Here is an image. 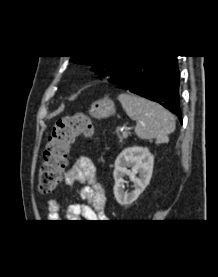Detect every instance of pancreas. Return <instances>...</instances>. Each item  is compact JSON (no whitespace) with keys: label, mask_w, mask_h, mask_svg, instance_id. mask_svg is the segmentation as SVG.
<instances>
[{"label":"pancreas","mask_w":218,"mask_h":277,"mask_svg":"<svg viewBox=\"0 0 218 277\" xmlns=\"http://www.w3.org/2000/svg\"><path fill=\"white\" fill-rule=\"evenodd\" d=\"M129 136V133L124 132L121 137H119V142L121 143L123 139H126Z\"/></svg>","instance_id":"obj_1"}]
</instances>
